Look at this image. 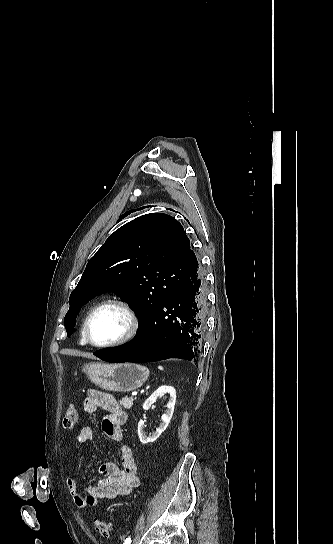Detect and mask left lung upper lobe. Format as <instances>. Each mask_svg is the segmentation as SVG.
I'll return each instance as SVG.
<instances>
[{
  "mask_svg": "<svg viewBox=\"0 0 333 544\" xmlns=\"http://www.w3.org/2000/svg\"><path fill=\"white\" fill-rule=\"evenodd\" d=\"M198 264L182 225L172 216L150 213L130 221L111 234L88 262L69 298L64 318L67 335L74 331L80 307L106 291L128 298L142 323Z\"/></svg>",
  "mask_w": 333,
  "mask_h": 544,
  "instance_id": "5c2ea615",
  "label": "left lung upper lobe"
}]
</instances>
